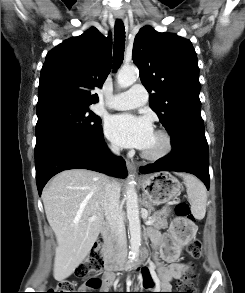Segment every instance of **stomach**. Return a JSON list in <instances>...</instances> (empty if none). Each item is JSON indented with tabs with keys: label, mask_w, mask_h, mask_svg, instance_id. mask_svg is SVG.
I'll return each mask as SVG.
<instances>
[{
	"label": "stomach",
	"mask_w": 245,
	"mask_h": 293,
	"mask_svg": "<svg viewBox=\"0 0 245 293\" xmlns=\"http://www.w3.org/2000/svg\"><path fill=\"white\" fill-rule=\"evenodd\" d=\"M142 189L153 205L166 204L176 199L181 192L180 182L168 172H158L140 179ZM167 216L169 210L164 207L161 211ZM195 235V229L191 228L190 233H184L182 237L177 238V243L188 242Z\"/></svg>",
	"instance_id": "obj_1"
}]
</instances>
